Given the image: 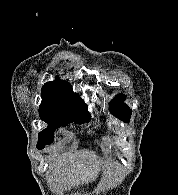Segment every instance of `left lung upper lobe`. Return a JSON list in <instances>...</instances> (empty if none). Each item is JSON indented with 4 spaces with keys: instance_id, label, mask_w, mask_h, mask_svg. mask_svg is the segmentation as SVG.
<instances>
[{
    "instance_id": "obj_1",
    "label": "left lung upper lobe",
    "mask_w": 178,
    "mask_h": 195,
    "mask_svg": "<svg viewBox=\"0 0 178 195\" xmlns=\"http://www.w3.org/2000/svg\"><path fill=\"white\" fill-rule=\"evenodd\" d=\"M125 97L124 94L117 95L115 99L109 103V110L115 117L127 123L130 120L132 112L124 103Z\"/></svg>"
}]
</instances>
